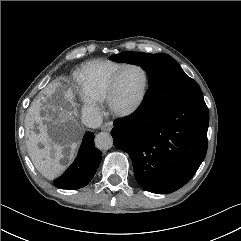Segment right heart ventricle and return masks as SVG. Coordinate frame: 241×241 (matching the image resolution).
Instances as JSON below:
<instances>
[{"label":"right heart ventricle","instance_id":"right-heart-ventricle-1","mask_svg":"<svg viewBox=\"0 0 241 241\" xmlns=\"http://www.w3.org/2000/svg\"><path fill=\"white\" fill-rule=\"evenodd\" d=\"M124 64L114 61H94L83 65L77 73L81 90L95 101H103L113 75Z\"/></svg>","mask_w":241,"mask_h":241}]
</instances>
